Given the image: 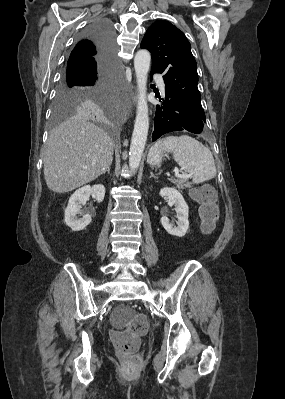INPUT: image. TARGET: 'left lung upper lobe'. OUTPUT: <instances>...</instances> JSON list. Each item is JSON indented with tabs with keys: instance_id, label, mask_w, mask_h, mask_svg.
<instances>
[{
	"instance_id": "left-lung-upper-lobe-1",
	"label": "left lung upper lobe",
	"mask_w": 285,
	"mask_h": 399,
	"mask_svg": "<svg viewBox=\"0 0 285 399\" xmlns=\"http://www.w3.org/2000/svg\"><path fill=\"white\" fill-rule=\"evenodd\" d=\"M141 48L152 54V71L162 73L165 85L206 123L198 90L196 61L184 33L168 21L158 20L146 31Z\"/></svg>"
}]
</instances>
